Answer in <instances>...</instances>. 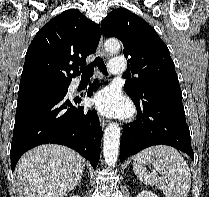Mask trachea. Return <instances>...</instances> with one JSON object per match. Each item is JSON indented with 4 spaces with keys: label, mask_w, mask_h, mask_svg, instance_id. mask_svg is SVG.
Here are the masks:
<instances>
[{
    "label": "trachea",
    "mask_w": 209,
    "mask_h": 197,
    "mask_svg": "<svg viewBox=\"0 0 209 197\" xmlns=\"http://www.w3.org/2000/svg\"><path fill=\"white\" fill-rule=\"evenodd\" d=\"M97 66L99 70L104 74L108 75V71L106 65L104 64L103 60L100 57H97L92 63L88 66L81 67L80 71L82 72V76H92L94 72V67Z\"/></svg>",
    "instance_id": "3493384b"
}]
</instances>
